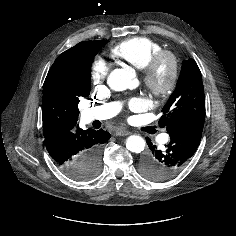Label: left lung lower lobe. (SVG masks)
<instances>
[{
  "label": "left lung lower lobe",
  "instance_id": "1",
  "mask_svg": "<svg viewBox=\"0 0 236 236\" xmlns=\"http://www.w3.org/2000/svg\"><path fill=\"white\" fill-rule=\"evenodd\" d=\"M203 126L204 119L180 124L169 132L171 140L164 150H158L147 137L150 150L141 161L142 175L152 181H166L178 175L197 150Z\"/></svg>",
  "mask_w": 236,
  "mask_h": 236
}]
</instances>
